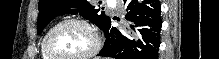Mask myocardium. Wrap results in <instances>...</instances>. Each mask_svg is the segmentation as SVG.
Wrapping results in <instances>:
<instances>
[{
  "label": "myocardium",
  "mask_w": 219,
  "mask_h": 59,
  "mask_svg": "<svg viewBox=\"0 0 219 59\" xmlns=\"http://www.w3.org/2000/svg\"><path fill=\"white\" fill-rule=\"evenodd\" d=\"M73 23L83 26L90 33V35L92 36L93 44L91 48L83 54L77 56H66V57L59 56L52 51L50 47V38L52 34L61 26L67 24H73ZM100 47H101V39L97 31L93 28V26L89 22L78 17H70L57 22L47 31V33L43 38V48L47 53V55L52 59H90L99 52Z\"/></svg>",
  "instance_id": "f54148a6"
}]
</instances>
